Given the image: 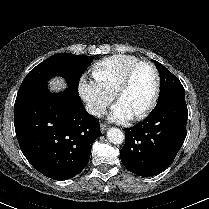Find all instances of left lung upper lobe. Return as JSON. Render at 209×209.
I'll return each instance as SVG.
<instances>
[{
	"mask_svg": "<svg viewBox=\"0 0 209 209\" xmlns=\"http://www.w3.org/2000/svg\"><path fill=\"white\" fill-rule=\"evenodd\" d=\"M154 62L160 74L161 80V89L158 100L163 99L166 96L172 94L185 93V90L179 79L176 76H174L169 70H167L162 64H160L157 61Z\"/></svg>",
	"mask_w": 209,
	"mask_h": 209,
	"instance_id": "5c2ea615",
	"label": "left lung upper lobe"
}]
</instances>
